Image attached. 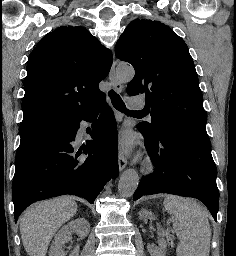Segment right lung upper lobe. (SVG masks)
<instances>
[{"label":"right lung upper lobe","instance_id":"cb5924a9","mask_svg":"<svg viewBox=\"0 0 236 256\" xmlns=\"http://www.w3.org/2000/svg\"><path fill=\"white\" fill-rule=\"evenodd\" d=\"M112 54L81 26H61L30 54L22 101L23 120L44 115L74 119L105 100L98 84L109 73Z\"/></svg>","mask_w":236,"mask_h":256}]
</instances>
